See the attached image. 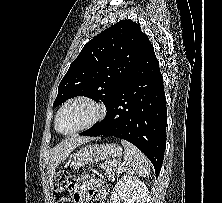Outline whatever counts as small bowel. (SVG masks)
Wrapping results in <instances>:
<instances>
[{
  "label": "small bowel",
  "instance_id": "c3829d8e",
  "mask_svg": "<svg viewBox=\"0 0 222 203\" xmlns=\"http://www.w3.org/2000/svg\"><path fill=\"white\" fill-rule=\"evenodd\" d=\"M73 184L75 203H85L90 197L94 199L95 203H106L108 188L97 177H82Z\"/></svg>",
  "mask_w": 222,
  "mask_h": 203
}]
</instances>
